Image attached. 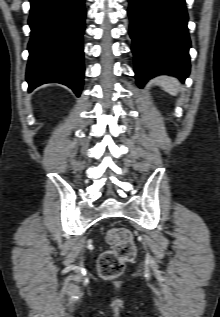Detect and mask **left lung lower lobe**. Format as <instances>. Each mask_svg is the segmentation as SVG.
I'll use <instances>...</instances> for the list:
<instances>
[{
  "label": "left lung lower lobe",
  "mask_w": 220,
  "mask_h": 317,
  "mask_svg": "<svg viewBox=\"0 0 220 317\" xmlns=\"http://www.w3.org/2000/svg\"><path fill=\"white\" fill-rule=\"evenodd\" d=\"M128 15L138 86L162 74L184 81L191 46L185 0H129Z\"/></svg>",
  "instance_id": "0a47b994"
}]
</instances>
